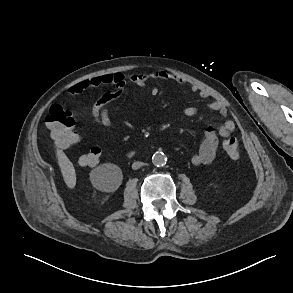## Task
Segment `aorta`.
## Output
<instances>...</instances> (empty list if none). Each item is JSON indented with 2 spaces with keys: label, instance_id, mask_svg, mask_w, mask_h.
I'll list each match as a JSON object with an SVG mask.
<instances>
[{
  "label": "aorta",
  "instance_id": "762f6f07",
  "mask_svg": "<svg viewBox=\"0 0 293 293\" xmlns=\"http://www.w3.org/2000/svg\"><path fill=\"white\" fill-rule=\"evenodd\" d=\"M167 158L164 153L156 152L152 157V163L155 166H163L166 164Z\"/></svg>",
  "mask_w": 293,
  "mask_h": 293
}]
</instances>
